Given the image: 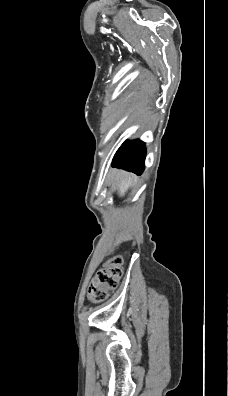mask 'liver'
Masks as SVG:
<instances>
[{
  "label": "liver",
  "mask_w": 228,
  "mask_h": 396,
  "mask_svg": "<svg viewBox=\"0 0 228 396\" xmlns=\"http://www.w3.org/2000/svg\"><path fill=\"white\" fill-rule=\"evenodd\" d=\"M131 183H132V178L130 176L125 177L120 181V183L118 185L119 196H124L125 192L128 190Z\"/></svg>",
  "instance_id": "liver-1"
}]
</instances>
